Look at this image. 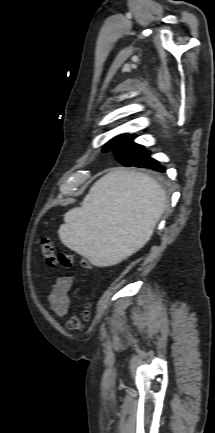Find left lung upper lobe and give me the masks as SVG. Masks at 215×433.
<instances>
[{"mask_svg":"<svg viewBox=\"0 0 215 433\" xmlns=\"http://www.w3.org/2000/svg\"><path fill=\"white\" fill-rule=\"evenodd\" d=\"M133 138L134 136L129 134L119 135L105 144L103 152L112 150L116 160L124 166L138 163L144 164L145 167L152 170L158 169L160 164L150 158V151H146L142 145L134 143Z\"/></svg>","mask_w":215,"mask_h":433,"instance_id":"obj_1","label":"left lung upper lobe"}]
</instances>
